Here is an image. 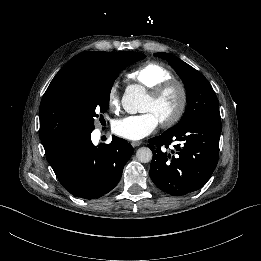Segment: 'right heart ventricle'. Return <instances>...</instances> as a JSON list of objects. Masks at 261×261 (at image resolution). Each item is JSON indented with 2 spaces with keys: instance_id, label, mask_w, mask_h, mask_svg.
Wrapping results in <instances>:
<instances>
[{
  "instance_id": "right-heart-ventricle-1",
  "label": "right heart ventricle",
  "mask_w": 261,
  "mask_h": 261,
  "mask_svg": "<svg viewBox=\"0 0 261 261\" xmlns=\"http://www.w3.org/2000/svg\"><path fill=\"white\" fill-rule=\"evenodd\" d=\"M129 77L149 91H152L158 84L174 78L166 66L156 61L142 64L133 70Z\"/></svg>"
}]
</instances>
